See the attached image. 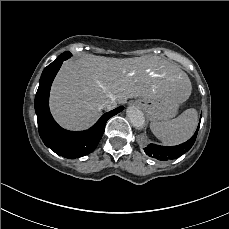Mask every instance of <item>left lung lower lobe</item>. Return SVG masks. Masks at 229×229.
<instances>
[{
  "instance_id": "1",
  "label": "left lung lower lobe",
  "mask_w": 229,
  "mask_h": 229,
  "mask_svg": "<svg viewBox=\"0 0 229 229\" xmlns=\"http://www.w3.org/2000/svg\"><path fill=\"white\" fill-rule=\"evenodd\" d=\"M199 126H200V121L194 135L188 141L180 145L168 147V146L149 144L147 147L144 148V151L149 157L156 158L160 161L176 159L191 149V147L195 143Z\"/></svg>"
}]
</instances>
